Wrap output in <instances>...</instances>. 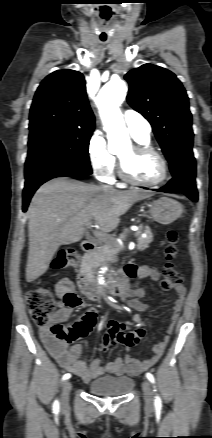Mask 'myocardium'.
Returning <instances> with one entry per match:
<instances>
[{"label": "myocardium", "mask_w": 212, "mask_h": 438, "mask_svg": "<svg viewBox=\"0 0 212 438\" xmlns=\"http://www.w3.org/2000/svg\"><path fill=\"white\" fill-rule=\"evenodd\" d=\"M132 149L135 153L152 154V155L156 156L159 159L160 164H161L162 175L158 180L153 181V182L138 181L129 175V173L127 172V170L125 168L124 161L119 157V175L125 182L130 183V184L135 185V186H140V187H153V186L160 185L167 180L168 175H169L168 163H167V160L165 159V157L159 151H157L156 149H154L151 146L144 145V144H134L132 146Z\"/></svg>", "instance_id": "1"}]
</instances>
